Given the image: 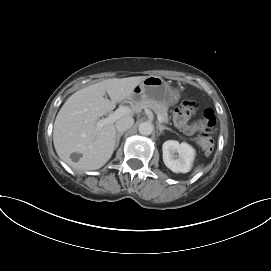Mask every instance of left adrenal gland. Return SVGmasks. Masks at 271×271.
<instances>
[{
	"instance_id": "1",
	"label": "left adrenal gland",
	"mask_w": 271,
	"mask_h": 271,
	"mask_svg": "<svg viewBox=\"0 0 271 271\" xmlns=\"http://www.w3.org/2000/svg\"><path fill=\"white\" fill-rule=\"evenodd\" d=\"M157 128H158V130H159V134H162V131H163V130H171V129L165 127V126H162L161 124H158V125H157Z\"/></svg>"
}]
</instances>
